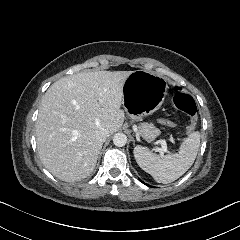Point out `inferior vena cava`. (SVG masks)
Returning <instances> with one entry per match:
<instances>
[{
	"instance_id": "inferior-vena-cava-1",
	"label": "inferior vena cava",
	"mask_w": 240,
	"mask_h": 240,
	"mask_svg": "<svg viewBox=\"0 0 240 240\" xmlns=\"http://www.w3.org/2000/svg\"><path fill=\"white\" fill-rule=\"evenodd\" d=\"M109 135H110V133L108 130H106L104 128H100L97 130L96 139L101 142H104L108 138Z\"/></svg>"
}]
</instances>
